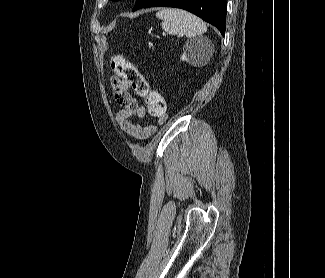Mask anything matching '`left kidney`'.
<instances>
[{
	"label": "left kidney",
	"mask_w": 325,
	"mask_h": 278,
	"mask_svg": "<svg viewBox=\"0 0 325 278\" xmlns=\"http://www.w3.org/2000/svg\"><path fill=\"white\" fill-rule=\"evenodd\" d=\"M182 61L193 62V54L188 47L185 48L183 55L181 56Z\"/></svg>",
	"instance_id": "1"
}]
</instances>
